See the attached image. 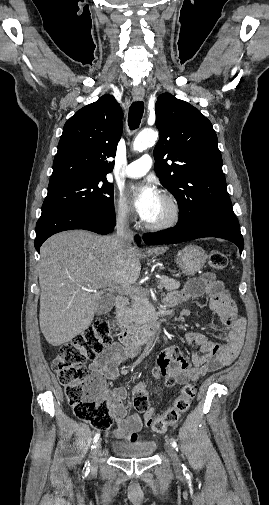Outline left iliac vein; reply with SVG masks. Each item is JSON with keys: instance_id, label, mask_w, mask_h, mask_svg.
Listing matches in <instances>:
<instances>
[{"instance_id": "left-iliac-vein-1", "label": "left iliac vein", "mask_w": 269, "mask_h": 505, "mask_svg": "<svg viewBox=\"0 0 269 505\" xmlns=\"http://www.w3.org/2000/svg\"><path fill=\"white\" fill-rule=\"evenodd\" d=\"M165 449H166V452L168 453V455L171 457V459L173 461V465H174L175 470L178 471V472L181 471L180 460L178 458V455H177L175 449L172 446H169V445H166Z\"/></svg>"}]
</instances>
